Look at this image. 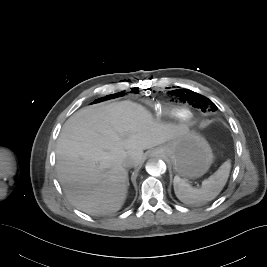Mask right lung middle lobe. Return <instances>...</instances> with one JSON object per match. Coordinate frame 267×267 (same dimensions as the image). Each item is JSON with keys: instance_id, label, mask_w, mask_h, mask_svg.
Returning a JSON list of instances; mask_svg holds the SVG:
<instances>
[{"instance_id": "1", "label": "right lung middle lobe", "mask_w": 267, "mask_h": 267, "mask_svg": "<svg viewBox=\"0 0 267 267\" xmlns=\"http://www.w3.org/2000/svg\"><path fill=\"white\" fill-rule=\"evenodd\" d=\"M123 95H124V93H122V92L116 93V94H112V95H108L106 97H103V98H100V99L96 100V102L107 100V99H111V98H115V97H119V96H123Z\"/></svg>"}]
</instances>
